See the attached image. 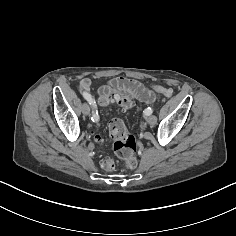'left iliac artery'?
Listing matches in <instances>:
<instances>
[{
	"instance_id": "44dca946",
	"label": "left iliac artery",
	"mask_w": 236,
	"mask_h": 236,
	"mask_svg": "<svg viewBox=\"0 0 236 236\" xmlns=\"http://www.w3.org/2000/svg\"><path fill=\"white\" fill-rule=\"evenodd\" d=\"M152 112H153V110L150 107H148L147 109L144 110V114L147 115V116L152 114Z\"/></svg>"
}]
</instances>
